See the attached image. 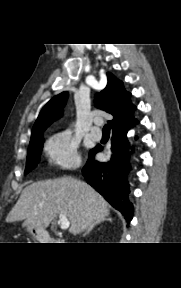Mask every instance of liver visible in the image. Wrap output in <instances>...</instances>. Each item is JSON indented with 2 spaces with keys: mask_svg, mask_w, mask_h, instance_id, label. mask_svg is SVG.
Returning <instances> with one entry per match:
<instances>
[{
  "mask_svg": "<svg viewBox=\"0 0 181 288\" xmlns=\"http://www.w3.org/2000/svg\"><path fill=\"white\" fill-rule=\"evenodd\" d=\"M58 214L66 215L71 223L69 232L76 235L103 221L109 215V205L83 181L48 179L25 187L6 222L24 221L27 228L44 232Z\"/></svg>",
  "mask_w": 181,
  "mask_h": 288,
  "instance_id": "1",
  "label": "liver"
}]
</instances>
